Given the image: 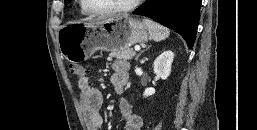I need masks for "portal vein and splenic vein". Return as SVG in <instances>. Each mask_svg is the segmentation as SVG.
I'll list each match as a JSON object with an SVG mask.
<instances>
[{
	"label": "portal vein and splenic vein",
	"mask_w": 257,
	"mask_h": 130,
	"mask_svg": "<svg viewBox=\"0 0 257 130\" xmlns=\"http://www.w3.org/2000/svg\"><path fill=\"white\" fill-rule=\"evenodd\" d=\"M139 50H140L139 46L135 47V51H139Z\"/></svg>",
	"instance_id": "1"
}]
</instances>
